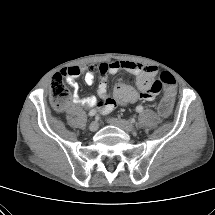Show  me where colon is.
Masks as SVG:
<instances>
[{
    "label": "colon",
    "instance_id": "obj_1",
    "mask_svg": "<svg viewBox=\"0 0 215 215\" xmlns=\"http://www.w3.org/2000/svg\"><path fill=\"white\" fill-rule=\"evenodd\" d=\"M175 79L169 72H163L160 75V79L155 81L152 85L151 90L153 92H160L162 87L165 88V95L158 104V112L162 116L170 114L175 100ZM69 90L65 86L62 75L56 74L53 76L50 84V99L52 106L56 110H62L68 100Z\"/></svg>",
    "mask_w": 215,
    "mask_h": 215
}]
</instances>
